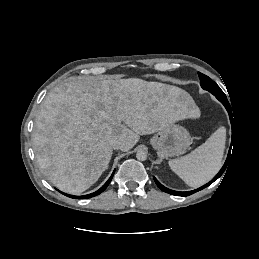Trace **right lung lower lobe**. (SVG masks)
Segmentation results:
<instances>
[{
    "instance_id": "1",
    "label": "right lung lower lobe",
    "mask_w": 259,
    "mask_h": 259,
    "mask_svg": "<svg viewBox=\"0 0 259 259\" xmlns=\"http://www.w3.org/2000/svg\"><path fill=\"white\" fill-rule=\"evenodd\" d=\"M113 175H114V172H113V174L111 175V177L109 178V180H108L98 191H96V192H94V193H91V194H88V195H84V196H73V195L65 194V193H63V192H61V193L64 194V195H66V196H68V197L74 198V199H85V198L94 197V196H96V195H99L101 192H103V191L107 188V186L109 185V183H110V181H111Z\"/></svg>"
}]
</instances>
